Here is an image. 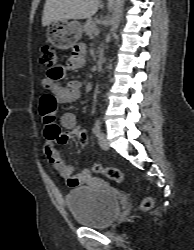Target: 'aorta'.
<instances>
[{"mask_svg":"<svg viewBox=\"0 0 194 250\" xmlns=\"http://www.w3.org/2000/svg\"><path fill=\"white\" fill-rule=\"evenodd\" d=\"M124 0H114L113 4V13L111 19V35L114 37L116 35V31L118 29L120 18L122 14Z\"/></svg>","mask_w":194,"mask_h":250,"instance_id":"obj_1","label":"aorta"}]
</instances>
